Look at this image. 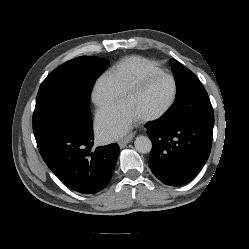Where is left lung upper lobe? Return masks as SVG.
Segmentation results:
<instances>
[{
  "label": "left lung upper lobe",
  "mask_w": 249,
  "mask_h": 249,
  "mask_svg": "<svg viewBox=\"0 0 249 249\" xmlns=\"http://www.w3.org/2000/svg\"><path fill=\"white\" fill-rule=\"evenodd\" d=\"M170 62L177 94L174 104L160 120L168 124H180L214 116L208 94L196 75L177 60L171 59Z\"/></svg>",
  "instance_id": "left-lung-upper-lobe-1"
}]
</instances>
